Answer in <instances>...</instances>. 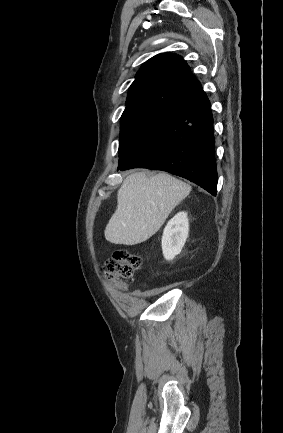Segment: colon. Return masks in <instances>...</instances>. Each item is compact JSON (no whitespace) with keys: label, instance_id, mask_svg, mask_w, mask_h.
Here are the masks:
<instances>
[{"label":"colon","instance_id":"5ec220e1","mask_svg":"<svg viewBox=\"0 0 283 433\" xmlns=\"http://www.w3.org/2000/svg\"><path fill=\"white\" fill-rule=\"evenodd\" d=\"M141 266V258L126 250H118L104 266L109 279L123 286V280L129 279Z\"/></svg>","mask_w":283,"mask_h":433}]
</instances>
